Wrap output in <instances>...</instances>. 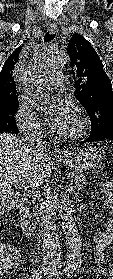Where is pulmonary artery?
<instances>
[{
	"label": "pulmonary artery",
	"mask_w": 113,
	"mask_h": 279,
	"mask_svg": "<svg viewBox=\"0 0 113 279\" xmlns=\"http://www.w3.org/2000/svg\"><path fill=\"white\" fill-rule=\"evenodd\" d=\"M64 74L62 73H51L44 79L43 86L49 90H56L63 85Z\"/></svg>",
	"instance_id": "e3ab8cb5"
}]
</instances>
